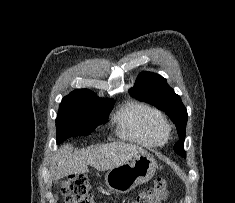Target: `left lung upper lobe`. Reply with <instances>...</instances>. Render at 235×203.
<instances>
[{
    "label": "left lung upper lobe",
    "instance_id": "5c2ea615",
    "mask_svg": "<svg viewBox=\"0 0 235 203\" xmlns=\"http://www.w3.org/2000/svg\"><path fill=\"white\" fill-rule=\"evenodd\" d=\"M129 92L132 97L157 107L171 118L180 137L173 149L177 154L186 158L183 143L188 119L187 110L181 98L167 84L166 79L152 72H142Z\"/></svg>",
    "mask_w": 235,
    "mask_h": 203
}]
</instances>
